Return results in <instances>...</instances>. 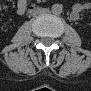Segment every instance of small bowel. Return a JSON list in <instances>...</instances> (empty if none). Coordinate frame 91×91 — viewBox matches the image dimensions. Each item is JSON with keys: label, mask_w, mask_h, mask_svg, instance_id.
I'll use <instances>...</instances> for the list:
<instances>
[{"label": "small bowel", "mask_w": 91, "mask_h": 91, "mask_svg": "<svg viewBox=\"0 0 91 91\" xmlns=\"http://www.w3.org/2000/svg\"><path fill=\"white\" fill-rule=\"evenodd\" d=\"M27 1L26 0H19L17 3V11L22 13L26 10ZM73 14H76L75 12Z\"/></svg>", "instance_id": "obj_1"}]
</instances>
